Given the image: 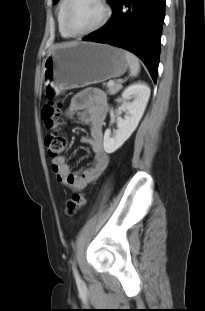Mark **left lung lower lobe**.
<instances>
[{
	"mask_svg": "<svg viewBox=\"0 0 205 311\" xmlns=\"http://www.w3.org/2000/svg\"><path fill=\"white\" fill-rule=\"evenodd\" d=\"M166 0H114L108 23L83 38L110 44L138 56L156 83ZM123 5L128 10L123 9Z\"/></svg>",
	"mask_w": 205,
	"mask_h": 311,
	"instance_id": "obj_1",
	"label": "left lung lower lobe"
}]
</instances>
